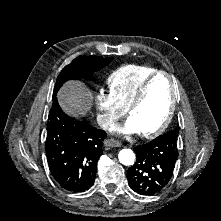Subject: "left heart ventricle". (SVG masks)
<instances>
[{"label":"left heart ventricle","instance_id":"left-heart-ventricle-1","mask_svg":"<svg viewBox=\"0 0 221 221\" xmlns=\"http://www.w3.org/2000/svg\"><path fill=\"white\" fill-rule=\"evenodd\" d=\"M171 101L170 82L165 76L151 84L143 103L133 110L130 120L140 133L156 129L165 119Z\"/></svg>","mask_w":221,"mask_h":221}]
</instances>
